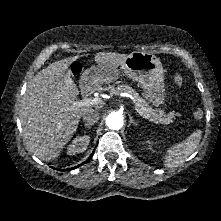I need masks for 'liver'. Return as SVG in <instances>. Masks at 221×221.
<instances>
[{"label":"liver","instance_id":"6515ba94","mask_svg":"<svg viewBox=\"0 0 221 221\" xmlns=\"http://www.w3.org/2000/svg\"><path fill=\"white\" fill-rule=\"evenodd\" d=\"M127 54L99 52L94 61L98 75L91 82H110L109 74L121 66ZM79 56L56 61L38 72L30 81L22 100L20 119L26 145L35 156L50 161L60 155L77 130L80 118L92 107L71 108L79 90L69 72V66ZM103 105L96 106L100 109Z\"/></svg>","mask_w":221,"mask_h":221}]
</instances>
